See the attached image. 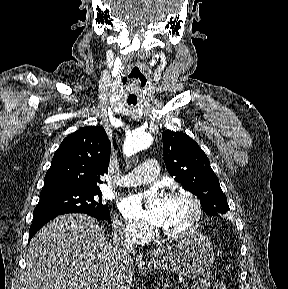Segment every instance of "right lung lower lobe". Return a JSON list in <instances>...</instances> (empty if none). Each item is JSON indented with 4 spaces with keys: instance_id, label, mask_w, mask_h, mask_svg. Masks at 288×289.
<instances>
[{
    "instance_id": "right-lung-lower-lobe-1",
    "label": "right lung lower lobe",
    "mask_w": 288,
    "mask_h": 289,
    "mask_svg": "<svg viewBox=\"0 0 288 289\" xmlns=\"http://www.w3.org/2000/svg\"><path fill=\"white\" fill-rule=\"evenodd\" d=\"M58 215H39V216H34L33 222L30 226L29 230V241L31 238L35 235V233L43 226L45 225L48 221L51 219L55 218Z\"/></svg>"
}]
</instances>
